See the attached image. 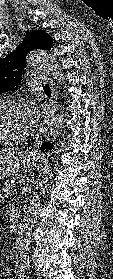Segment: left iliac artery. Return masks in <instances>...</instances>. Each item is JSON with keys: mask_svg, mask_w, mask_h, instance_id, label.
Instances as JSON below:
<instances>
[{"mask_svg": "<svg viewBox=\"0 0 113 279\" xmlns=\"http://www.w3.org/2000/svg\"><path fill=\"white\" fill-rule=\"evenodd\" d=\"M20 272V275H19V279L21 278V277H23V275H22V271H19Z\"/></svg>", "mask_w": 113, "mask_h": 279, "instance_id": "obj_1", "label": "left iliac artery"}]
</instances>
